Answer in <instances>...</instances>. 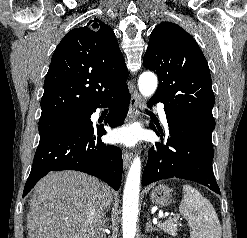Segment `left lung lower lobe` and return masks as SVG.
Masks as SVG:
<instances>
[{"mask_svg": "<svg viewBox=\"0 0 247 238\" xmlns=\"http://www.w3.org/2000/svg\"><path fill=\"white\" fill-rule=\"evenodd\" d=\"M159 102L151 98L149 105ZM167 144L155 143L142 175V185L166 178L200 183L220 194L213 169L212 132L189 119L167 115ZM163 140L161 129L150 126Z\"/></svg>", "mask_w": 247, "mask_h": 238, "instance_id": "1", "label": "left lung lower lobe"}]
</instances>
